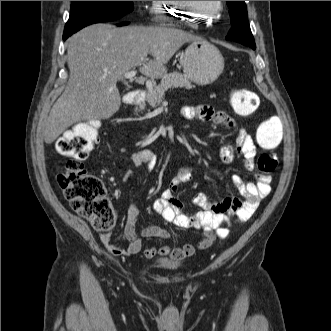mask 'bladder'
Masks as SVG:
<instances>
[{
	"mask_svg": "<svg viewBox=\"0 0 331 331\" xmlns=\"http://www.w3.org/2000/svg\"><path fill=\"white\" fill-rule=\"evenodd\" d=\"M156 266L161 269L174 270L181 266V262L177 260H172L168 257H161L155 260Z\"/></svg>",
	"mask_w": 331,
	"mask_h": 331,
	"instance_id": "1",
	"label": "bladder"
}]
</instances>
